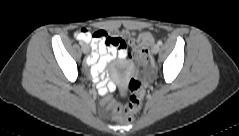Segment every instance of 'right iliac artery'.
Returning <instances> with one entry per match:
<instances>
[{"label": "right iliac artery", "instance_id": "right-iliac-artery-1", "mask_svg": "<svg viewBox=\"0 0 239 136\" xmlns=\"http://www.w3.org/2000/svg\"><path fill=\"white\" fill-rule=\"evenodd\" d=\"M79 44H80V46H84L85 44H84V42H82V41H79Z\"/></svg>", "mask_w": 239, "mask_h": 136}]
</instances>
